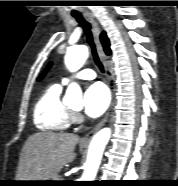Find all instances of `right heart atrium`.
Masks as SVG:
<instances>
[{
    "mask_svg": "<svg viewBox=\"0 0 178 186\" xmlns=\"http://www.w3.org/2000/svg\"><path fill=\"white\" fill-rule=\"evenodd\" d=\"M72 119L73 121H79L81 119V116L78 113L74 112L72 113Z\"/></svg>",
    "mask_w": 178,
    "mask_h": 186,
    "instance_id": "right-heart-atrium-1",
    "label": "right heart atrium"
}]
</instances>
